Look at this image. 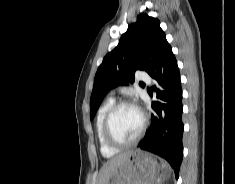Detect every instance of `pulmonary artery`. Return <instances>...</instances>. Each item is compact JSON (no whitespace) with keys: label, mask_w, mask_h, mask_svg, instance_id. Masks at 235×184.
<instances>
[{"label":"pulmonary artery","mask_w":235,"mask_h":184,"mask_svg":"<svg viewBox=\"0 0 235 184\" xmlns=\"http://www.w3.org/2000/svg\"><path fill=\"white\" fill-rule=\"evenodd\" d=\"M141 77L146 81H150V77L146 73H142Z\"/></svg>","instance_id":"obj_1"}]
</instances>
